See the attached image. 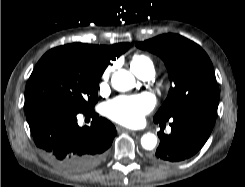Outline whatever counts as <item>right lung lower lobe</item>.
<instances>
[{
    "label": "right lung lower lobe",
    "mask_w": 245,
    "mask_h": 187,
    "mask_svg": "<svg viewBox=\"0 0 245 187\" xmlns=\"http://www.w3.org/2000/svg\"><path fill=\"white\" fill-rule=\"evenodd\" d=\"M93 118L90 126L80 127L77 115ZM33 139L51 161L65 170L82 172L99 165L117 132L105 118L93 111L82 112L52 106L26 116Z\"/></svg>",
    "instance_id": "right-lung-lower-lobe-1"
}]
</instances>
